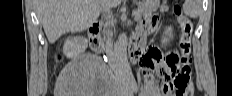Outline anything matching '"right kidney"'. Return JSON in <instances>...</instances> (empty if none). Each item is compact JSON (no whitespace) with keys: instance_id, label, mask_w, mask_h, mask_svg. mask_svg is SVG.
I'll use <instances>...</instances> for the list:
<instances>
[{"instance_id":"obj_1","label":"right kidney","mask_w":232,"mask_h":96,"mask_svg":"<svg viewBox=\"0 0 232 96\" xmlns=\"http://www.w3.org/2000/svg\"><path fill=\"white\" fill-rule=\"evenodd\" d=\"M87 48V39L84 37H70L64 43L63 52L67 57H77Z\"/></svg>"}]
</instances>
